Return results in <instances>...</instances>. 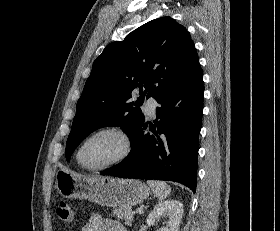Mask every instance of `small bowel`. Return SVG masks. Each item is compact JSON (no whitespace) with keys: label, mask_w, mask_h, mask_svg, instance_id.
<instances>
[{"label":"small bowel","mask_w":280,"mask_h":231,"mask_svg":"<svg viewBox=\"0 0 280 231\" xmlns=\"http://www.w3.org/2000/svg\"><path fill=\"white\" fill-rule=\"evenodd\" d=\"M82 231H125V228L115 220L106 219L98 214H94L82 227Z\"/></svg>","instance_id":"obj_1"}]
</instances>
